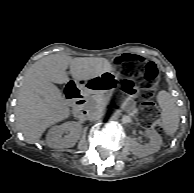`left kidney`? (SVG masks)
Wrapping results in <instances>:
<instances>
[{
  "label": "left kidney",
  "mask_w": 194,
  "mask_h": 193,
  "mask_svg": "<svg viewBox=\"0 0 194 193\" xmlns=\"http://www.w3.org/2000/svg\"><path fill=\"white\" fill-rule=\"evenodd\" d=\"M145 133L150 139V142L146 145H140L135 140L129 142L131 152L139 157L157 152L162 144V138L155 130L147 129Z\"/></svg>",
  "instance_id": "1"
}]
</instances>
